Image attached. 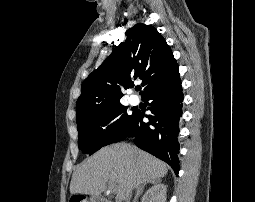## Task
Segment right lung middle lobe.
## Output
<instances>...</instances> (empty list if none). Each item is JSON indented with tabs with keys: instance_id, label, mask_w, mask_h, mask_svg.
<instances>
[{
	"instance_id": "1",
	"label": "right lung middle lobe",
	"mask_w": 255,
	"mask_h": 202,
	"mask_svg": "<svg viewBox=\"0 0 255 202\" xmlns=\"http://www.w3.org/2000/svg\"><path fill=\"white\" fill-rule=\"evenodd\" d=\"M121 103L93 110L76 119L79 149L93 154L101 147L124 139L135 119Z\"/></svg>"
}]
</instances>
